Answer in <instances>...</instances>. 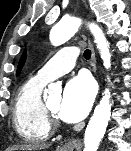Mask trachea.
I'll return each instance as SVG.
<instances>
[{
    "mask_svg": "<svg viewBox=\"0 0 131 151\" xmlns=\"http://www.w3.org/2000/svg\"><path fill=\"white\" fill-rule=\"evenodd\" d=\"M84 58L89 60L91 58V50L87 49L84 51Z\"/></svg>",
    "mask_w": 131,
    "mask_h": 151,
    "instance_id": "trachea-1",
    "label": "trachea"
}]
</instances>
